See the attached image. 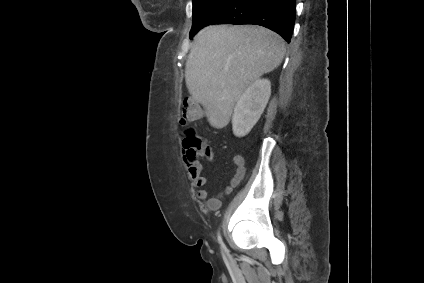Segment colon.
Instances as JSON below:
<instances>
[{
    "label": "colon",
    "instance_id": "1",
    "mask_svg": "<svg viewBox=\"0 0 424 283\" xmlns=\"http://www.w3.org/2000/svg\"><path fill=\"white\" fill-rule=\"evenodd\" d=\"M201 114L202 110L200 106L194 100L188 99L183 104L180 123L185 125L187 123L193 122L197 120ZM185 144L188 146V148H190L189 156L191 159L195 160L196 155H200L206 158L212 157V148L203 142L202 139L197 137L193 131L188 132L185 139Z\"/></svg>",
    "mask_w": 424,
    "mask_h": 283
}]
</instances>
